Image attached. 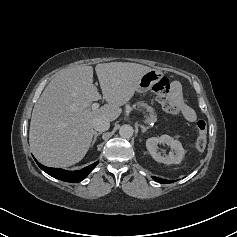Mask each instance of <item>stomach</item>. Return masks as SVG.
I'll return each instance as SVG.
<instances>
[{"instance_id":"0dacf381","label":"stomach","mask_w":237,"mask_h":237,"mask_svg":"<svg viewBox=\"0 0 237 237\" xmlns=\"http://www.w3.org/2000/svg\"><path fill=\"white\" fill-rule=\"evenodd\" d=\"M163 73L156 69H151L144 73L140 78L136 91L139 93H145L152 88L160 79H162Z\"/></svg>"}]
</instances>
